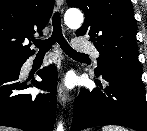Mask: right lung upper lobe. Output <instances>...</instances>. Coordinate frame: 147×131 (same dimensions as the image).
<instances>
[{"mask_svg": "<svg viewBox=\"0 0 147 131\" xmlns=\"http://www.w3.org/2000/svg\"><path fill=\"white\" fill-rule=\"evenodd\" d=\"M54 0H0V59L25 60L35 51L23 45L33 34L42 35Z\"/></svg>", "mask_w": 147, "mask_h": 131, "instance_id": "obj_1", "label": "right lung upper lobe"}]
</instances>
